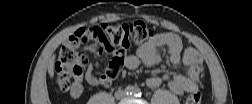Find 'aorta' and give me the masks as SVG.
<instances>
[{
    "label": "aorta",
    "instance_id": "obj_1",
    "mask_svg": "<svg viewBox=\"0 0 252 104\" xmlns=\"http://www.w3.org/2000/svg\"><path fill=\"white\" fill-rule=\"evenodd\" d=\"M129 93L132 94V93H134V92H133V90H129Z\"/></svg>",
    "mask_w": 252,
    "mask_h": 104
}]
</instances>
